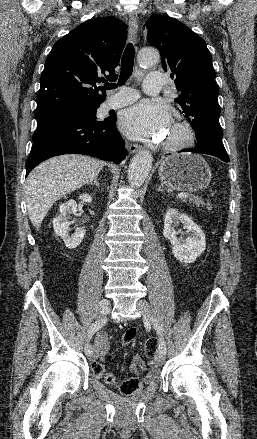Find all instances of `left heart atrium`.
<instances>
[{"label":"left heart atrium","mask_w":257,"mask_h":439,"mask_svg":"<svg viewBox=\"0 0 257 439\" xmlns=\"http://www.w3.org/2000/svg\"><path fill=\"white\" fill-rule=\"evenodd\" d=\"M169 111L152 101L139 102L125 110L119 117L120 129L133 138H157L170 126Z\"/></svg>","instance_id":"1"}]
</instances>
